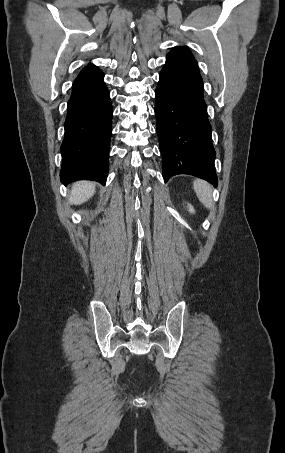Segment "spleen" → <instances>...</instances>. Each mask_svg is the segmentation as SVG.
Wrapping results in <instances>:
<instances>
[{"mask_svg": "<svg viewBox=\"0 0 285 453\" xmlns=\"http://www.w3.org/2000/svg\"><path fill=\"white\" fill-rule=\"evenodd\" d=\"M194 191L200 202L208 209L213 205L212 189L206 181L197 179L193 182Z\"/></svg>", "mask_w": 285, "mask_h": 453, "instance_id": "3e777b00", "label": "spleen"}]
</instances>
